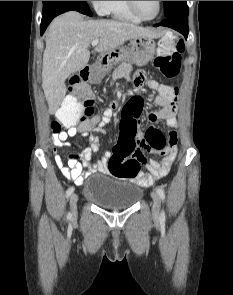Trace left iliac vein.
Returning a JSON list of instances; mask_svg holds the SVG:
<instances>
[{
	"instance_id": "1",
	"label": "left iliac vein",
	"mask_w": 233,
	"mask_h": 295,
	"mask_svg": "<svg viewBox=\"0 0 233 295\" xmlns=\"http://www.w3.org/2000/svg\"><path fill=\"white\" fill-rule=\"evenodd\" d=\"M151 197L153 200L152 214L155 218H157V217H159V213H160L161 200H160L158 193H156V192H152Z\"/></svg>"
}]
</instances>
